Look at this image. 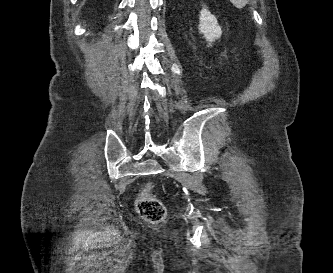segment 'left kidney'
<instances>
[{
	"label": "left kidney",
	"instance_id": "obj_1",
	"mask_svg": "<svg viewBox=\"0 0 333 273\" xmlns=\"http://www.w3.org/2000/svg\"><path fill=\"white\" fill-rule=\"evenodd\" d=\"M199 31L204 35V38L209 42V45L222 35L221 27L217 23V19L206 8L200 11Z\"/></svg>",
	"mask_w": 333,
	"mask_h": 273
}]
</instances>
